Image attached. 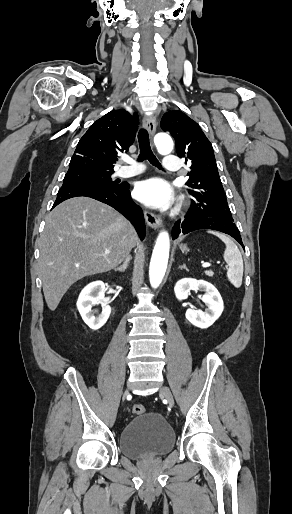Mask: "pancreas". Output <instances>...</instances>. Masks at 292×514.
I'll return each mask as SVG.
<instances>
[{
  "mask_svg": "<svg viewBox=\"0 0 292 514\" xmlns=\"http://www.w3.org/2000/svg\"><path fill=\"white\" fill-rule=\"evenodd\" d=\"M206 276H213V272H205Z\"/></svg>",
  "mask_w": 292,
  "mask_h": 514,
  "instance_id": "1",
  "label": "pancreas"
}]
</instances>
